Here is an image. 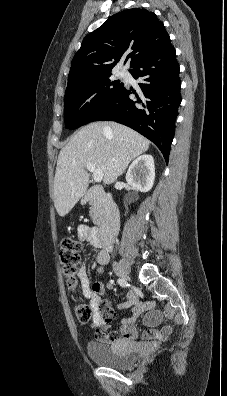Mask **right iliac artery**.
<instances>
[{
  "instance_id": "right-iliac-artery-1",
  "label": "right iliac artery",
  "mask_w": 227,
  "mask_h": 396,
  "mask_svg": "<svg viewBox=\"0 0 227 396\" xmlns=\"http://www.w3.org/2000/svg\"><path fill=\"white\" fill-rule=\"evenodd\" d=\"M117 282H118V284H119L120 286H122V287H127V286H128V283H127L125 280L121 279V278H119V279L117 280Z\"/></svg>"
}]
</instances>
